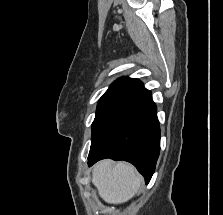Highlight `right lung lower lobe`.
<instances>
[{
  "instance_id": "1",
  "label": "right lung lower lobe",
  "mask_w": 223,
  "mask_h": 215,
  "mask_svg": "<svg viewBox=\"0 0 223 215\" xmlns=\"http://www.w3.org/2000/svg\"><path fill=\"white\" fill-rule=\"evenodd\" d=\"M152 97L128 113L89 153L88 166L111 158L132 163L149 183L160 152V126Z\"/></svg>"
}]
</instances>
